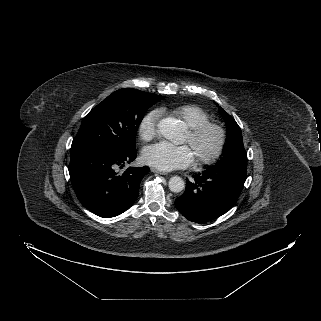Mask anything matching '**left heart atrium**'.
<instances>
[{
    "mask_svg": "<svg viewBox=\"0 0 321 321\" xmlns=\"http://www.w3.org/2000/svg\"><path fill=\"white\" fill-rule=\"evenodd\" d=\"M143 160L157 169L170 171L191 165L194 154L186 145L174 146L160 142L144 149Z\"/></svg>",
    "mask_w": 321,
    "mask_h": 321,
    "instance_id": "obj_1",
    "label": "left heart atrium"
}]
</instances>
